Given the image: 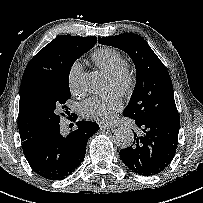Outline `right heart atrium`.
Instances as JSON below:
<instances>
[{"instance_id":"d8ad5b80","label":"right heart atrium","mask_w":203,"mask_h":203,"mask_svg":"<svg viewBox=\"0 0 203 203\" xmlns=\"http://www.w3.org/2000/svg\"><path fill=\"white\" fill-rule=\"evenodd\" d=\"M83 67L79 61H75L68 71V86L72 93H77L80 90L81 76Z\"/></svg>"}]
</instances>
